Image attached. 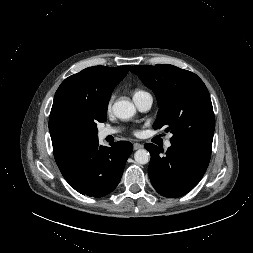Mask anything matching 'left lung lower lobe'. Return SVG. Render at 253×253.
Wrapping results in <instances>:
<instances>
[{"instance_id":"obj_1","label":"left lung lower lobe","mask_w":253,"mask_h":253,"mask_svg":"<svg viewBox=\"0 0 253 253\" xmlns=\"http://www.w3.org/2000/svg\"><path fill=\"white\" fill-rule=\"evenodd\" d=\"M151 154L148 174L155 190L162 196L177 198L191 191L202 179L210 156L186 147L171 145L163 150L151 143L145 144Z\"/></svg>"}]
</instances>
